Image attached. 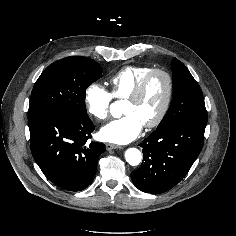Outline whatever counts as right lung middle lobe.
Instances as JSON below:
<instances>
[{"label": "right lung middle lobe", "mask_w": 236, "mask_h": 236, "mask_svg": "<svg viewBox=\"0 0 236 236\" xmlns=\"http://www.w3.org/2000/svg\"><path fill=\"white\" fill-rule=\"evenodd\" d=\"M102 77L97 62L71 56L49 65L36 81L29 102V113L52 111L87 115V87Z\"/></svg>", "instance_id": "right-lung-middle-lobe-1"}]
</instances>
